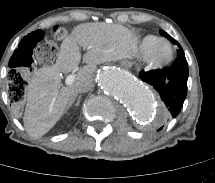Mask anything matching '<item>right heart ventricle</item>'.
<instances>
[{
	"label": "right heart ventricle",
	"mask_w": 215,
	"mask_h": 183,
	"mask_svg": "<svg viewBox=\"0 0 215 183\" xmlns=\"http://www.w3.org/2000/svg\"><path fill=\"white\" fill-rule=\"evenodd\" d=\"M162 39L155 35H147L145 36L140 44H139V51L142 55H145L153 46H155L159 41Z\"/></svg>",
	"instance_id": "1"
}]
</instances>
